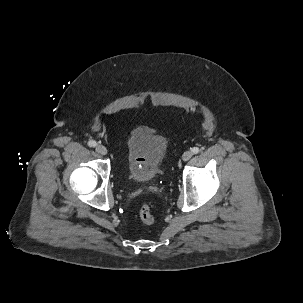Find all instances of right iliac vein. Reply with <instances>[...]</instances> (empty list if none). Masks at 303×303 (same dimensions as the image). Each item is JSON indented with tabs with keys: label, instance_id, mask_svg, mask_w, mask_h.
<instances>
[{
	"label": "right iliac vein",
	"instance_id": "obj_1",
	"mask_svg": "<svg viewBox=\"0 0 303 303\" xmlns=\"http://www.w3.org/2000/svg\"><path fill=\"white\" fill-rule=\"evenodd\" d=\"M96 151L101 154V155H106L107 154V148L101 144H98L96 146Z\"/></svg>",
	"mask_w": 303,
	"mask_h": 303
}]
</instances>
